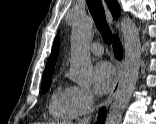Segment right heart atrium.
I'll return each mask as SVG.
<instances>
[{"label":"right heart atrium","instance_id":"1","mask_svg":"<svg viewBox=\"0 0 156 124\" xmlns=\"http://www.w3.org/2000/svg\"><path fill=\"white\" fill-rule=\"evenodd\" d=\"M95 93L91 88L72 86L69 92V106L73 118L85 116L95 107Z\"/></svg>","mask_w":156,"mask_h":124}]
</instances>
